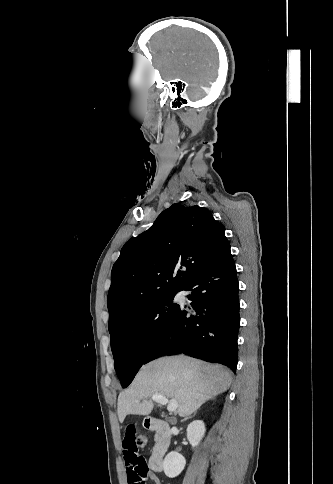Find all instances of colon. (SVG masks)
I'll return each instance as SVG.
<instances>
[{
  "label": "colon",
  "instance_id": "5ec220e1",
  "mask_svg": "<svg viewBox=\"0 0 333 484\" xmlns=\"http://www.w3.org/2000/svg\"><path fill=\"white\" fill-rule=\"evenodd\" d=\"M136 443L139 447H144L147 444V437L144 434H140L136 438Z\"/></svg>",
  "mask_w": 333,
  "mask_h": 484
}]
</instances>
